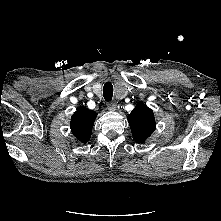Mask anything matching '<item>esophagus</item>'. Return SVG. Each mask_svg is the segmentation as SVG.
<instances>
[{"instance_id":"esophagus-1","label":"esophagus","mask_w":221,"mask_h":221,"mask_svg":"<svg viewBox=\"0 0 221 221\" xmlns=\"http://www.w3.org/2000/svg\"><path fill=\"white\" fill-rule=\"evenodd\" d=\"M107 107H108V109H109L110 111H115L116 108H117V105H116L115 102H109V103L107 104Z\"/></svg>"}]
</instances>
